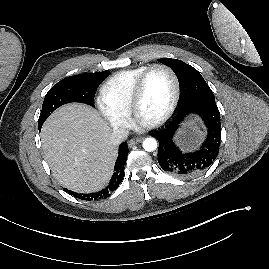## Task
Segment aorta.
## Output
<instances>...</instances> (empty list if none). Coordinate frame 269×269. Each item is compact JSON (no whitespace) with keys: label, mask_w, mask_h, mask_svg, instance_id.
I'll return each mask as SVG.
<instances>
[{"label":"aorta","mask_w":269,"mask_h":269,"mask_svg":"<svg viewBox=\"0 0 269 269\" xmlns=\"http://www.w3.org/2000/svg\"><path fill=\"white\" fill-rule=\"evenodd\" d=\"M142 145L144 150L147 152H153L157 149V141L153 137L145 138Z\"/></svg>","instance_id":"aorta-1"}]
</instances>
